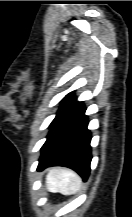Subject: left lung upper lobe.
<instances>
[{"label": "left lung upper lobe", "mask_w": 132, "mask_h": 217, "mask_svg": "<svg viewBox=\"0 0 132 217\" xmlns=\"http://www.w3.org/2000/svg\"><path fill=\"white\" fill-rule=\"evenodd\" d=\"M73 92L69 93L68 95H66V97L62 100L63 103L59 109V111L57 112V116L64 111L73 101H75V98L73 97ZM56 116V117H57Z\"/></svg>", "instance_id": "left-lung-upper-lobe-1"}]
</instances>
